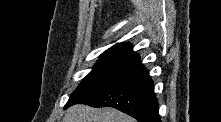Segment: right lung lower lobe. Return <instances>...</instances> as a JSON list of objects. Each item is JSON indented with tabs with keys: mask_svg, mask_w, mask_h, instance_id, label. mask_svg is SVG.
<instances>
[{
	"mask_svg": "<svg viewBox=\"0 0 221 122\" xmlns=\"http://www.w3.org/2000/svg\"><path fill=\"white\" fill-rule=\"evenodd\" d=\"M153 89L148 70L138 63L121 81L76 103L93 107H114L139 122H161Z\"/></svg>",
	"mask_w": 221,
	"mask_h": 122,
	"instance_id": "right-lung-lower-lobe-1",
	"label": "right lung lower lobe"
}]
</instances>
